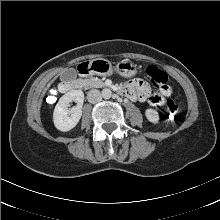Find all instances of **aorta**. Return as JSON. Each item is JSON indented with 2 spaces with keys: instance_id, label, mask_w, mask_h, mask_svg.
Instances as JSON below:
<instances>
[{
  "instance_id": "aorta-1",
  "label": "aorta",
  "mask_w": 220,
  "mask_h": 220,
  "mask_svg": "<svg viewBox=\"0 0 220 220\" xmlns=\"http://www.w3.org/2000/svg\"><path fill=\"white\" fill-rule=\"evenodd\" d=\"M112 95V91L108 88L102 90V96L104 99H109Z\"/></svg>"
}]
</instances>
